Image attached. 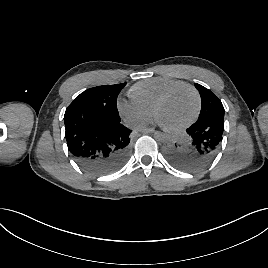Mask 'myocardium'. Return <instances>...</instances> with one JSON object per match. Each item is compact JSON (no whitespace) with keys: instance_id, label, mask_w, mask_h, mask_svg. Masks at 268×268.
Wrapping results in <instances>:
<instances>
[{"instance_id":"1","label":"myocardium","mask_w":268,"mask_h":268,"mask_svg":"<svg viewBox=\"0 0 268 268\" xmlns=\"http://www.w3.org/2000/svg\"><path fill=\"white\" fill-rule=\"evenodd\" d=\"M182 88H188L190 89L193 94L195 95V98H196V109H195V112L193 114V116L188 119L186 122L178 125V126H174V127H169V126H166L164 124H162L159 119H158V112H159V109L161 108V106L168 100V98H170L176 91L182 89ZM201 106H202V100H201V96H200V93L198 92V90L191 84L189 83H180V84H177L171 88H169L157 101V103L155 104V107H154V117L156 119V121L158 122V124L163 127L164 129L166 130H169V131H180V130H183L185 128H187L188 126H190L191 124H193L197 118L199 117V114H200V111H201Z\"/></svg>"}]
</instances>
